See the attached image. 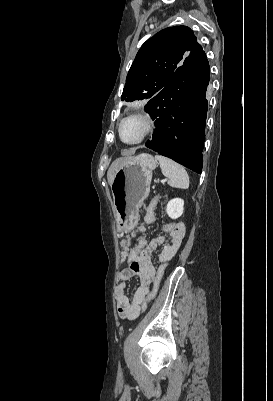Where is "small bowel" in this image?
I'll return each instance as SVG.
<instances>
[{
  "mask_svg": "<svg viewBox=\"0 0 273 401\" xmlns=\"http://www.w3.org/2000/svg\"><path fill=\"white\" fill-rule=\"evenodd\" d=\"M151 223L156 221L154 216L149 218ZM166 231L173 237V229L170 225L166 227ZM134 234H127L122 242L121 260L127 262L128 266L119 272V283L115 288L114 295L117 304V310L120 317L134 320L138 318L147 308L150 297L151 284H140L135 290L133 296H128L126 287L127 282L133 278H137L138 271H153L155 268L151 262L152 253L159 244L163 242V238L146 240L138 239L136 245H132ZM179 239H174L172 245L167 246L162 254L161 260L167 258L170 260L179 246ZM155 278V276H154Z\"/></svg>",
  "mask_w": 273,
  "mask_h": 401,
  "instance_id": "c3829d8e",
  "label": "small bowel"
}]
</instances>
